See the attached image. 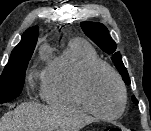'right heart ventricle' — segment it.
<instances>
[{
    "instance_id": "obj_1",
    "label": "right heart ventricle",
    "mask_w": 151,
    "mask_h": 131,
    "mask_svg": "<svg viewBox=\"0 0 151 131\" xmlns=\"http://www.w3.org/2000/svg\"><path fill=\"white\" fill-rule=\"evenodd\" d=\"M99 60L94 47L82 39L69 42L67 48L53 57L44 69L41 95L49 104L84 108L75 93V83L84 68Z\"/></svg>"
}]
</instances>
